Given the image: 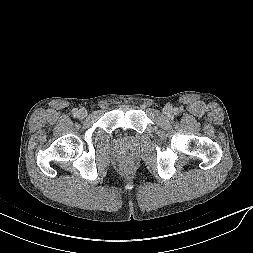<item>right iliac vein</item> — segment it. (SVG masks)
Segmentation results:
<instances>
[{
	"label": "right iliac vein",
	"mask_w": 253,
	"mask_h": 253,
	"mask_svg": "<svg viewBox=\"0 0 253 253\" xmlns=\"http://www.w3.org/2000/svg\"><path fill=\"white\" fill-rule=\"evenodd\" d=\"M77 116L81 119L85 118L87 116V111L86 109H80L77 113Z\"/></svg>",
	"instance_id": "1"
}]
</instances>
